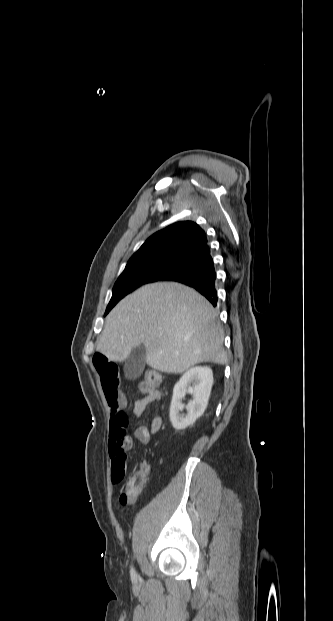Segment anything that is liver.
<instances>
[{"instance_id": "liver-1", "label": "liver", "mask_w": 333, "mask_h": 621, "mask_svg": "<svg viewBox=\"0 0 333 621\" xmlns=\"http://www.w3.org/2000/svg\"><path fill=\"white\" fill-rule=\"evenodd\" d=\"M223 341L217 313L203 296L175 282L154 283L109 313L97 351L122 362L143 344L150 367L177 374L201 362L226 364Z\"/></svg>"}]
</instances>
